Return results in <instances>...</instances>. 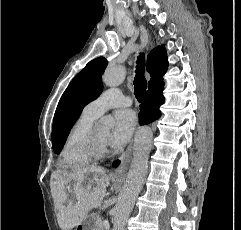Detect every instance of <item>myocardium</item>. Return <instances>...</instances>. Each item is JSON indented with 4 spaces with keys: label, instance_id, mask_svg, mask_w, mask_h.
Returning <instances> with one entry per match:
<instances>
[{
    "label": "myocardium",
    "instance_id": "obj_1",
    "mask_svg": "<svg viewBox=\"0 0 241 230\" xmlns=\"http://www.w3.org/2000/svg\"><path fill=\"white\" fill-rule=\"evenodd\" d=\"M95 129L91 127L83 140L84 153L93 160L102 159L109 155L110 149L106 145L100 144L95 136Z\"/></svg>",
    "mask_w": 241,
    "mask_h": 230
}]
</instances>
